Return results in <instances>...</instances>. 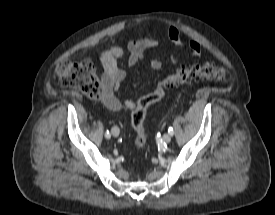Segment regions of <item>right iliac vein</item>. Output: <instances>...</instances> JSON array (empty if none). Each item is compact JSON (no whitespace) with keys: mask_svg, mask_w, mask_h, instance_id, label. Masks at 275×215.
<instances>
[{"mask_svg":"<svg viewBox=\"0 0 275 215\" xmlns=\"http://www.w3.org/2000/svg\"><path fill=\"white\" fill-rule=\"evenodd\" d=\"M111 133L114 137H118L119 134H120V130L118 127H113L112 130H111Z\"/></svg>","mask_w":275,"mask_h":215,"instance_id":"obj_1","label":"right iliac vein"}]
</instances>
